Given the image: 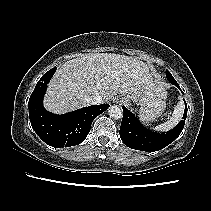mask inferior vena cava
Returning <instances> with one entry per match:
<instances>
[{"instance_id": "602c4592", "label": "inferior vena cava", "mask_w": 211, "mask_h": 211, "mask_svg": "<svg viewBox=\"0 0 211 211\" xmlns=\"http://www.w3.org/2000/svg\"><path fill=\"white\" fill-rule=\"evenodd\" d=\"M86 102L90 105H98L103 102L102 96L99 94H95L92 96H88L85 98Z\"/></svg>"}]
</instances>
